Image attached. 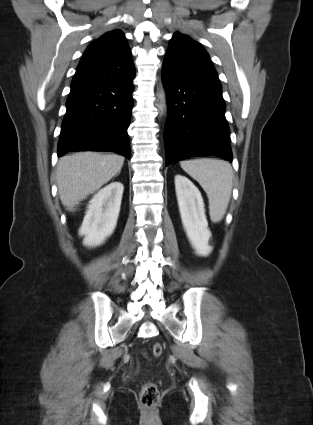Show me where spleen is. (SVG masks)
Returning a JSON list of instances; mask_svg holds the SVG:
<instances>
[{
    "label": "spleen",
    "mask_w": 313,
    "mask_h": 425,
    "mask_svg": "<svg viewBox=\"0 0 313 425\" xmlns=\"http://www.w3.org/2000/svg\"><path fill=\"white\" fill-rule=\"evenodd\" d=\"M180 165L206 192L211 221L220 222L225 215L232 193L231 165L223 160L209 158L181 161Z\"/></svg>",
    "instance_id": "3e777b00"
}]
</instances>
